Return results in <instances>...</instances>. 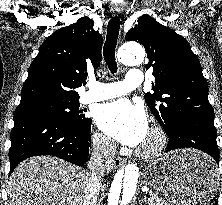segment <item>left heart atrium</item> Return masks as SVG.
<instances>
[{
	"instance_id": "obj_1",
	"label": "left heart atrium",
	"mask_w": 222,
	"mask_h": 205,
	"mask_svg": "<svg viewBox=\"0 0 222 205\" xmlns=\"http://www.w3.org/2000/svg\"><path fill=\"white\" fill-rule=\"evenodd\" d=\"M96 120L106 134L129 146L142 144L149 132L145 111L127 99L102 105Z\"/></svg>"
}]
</instances>
